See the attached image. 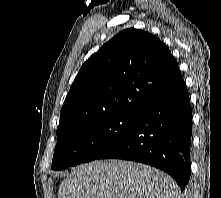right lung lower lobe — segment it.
<instances>
[{"mask_svg":"<svg viewBox=\"0 0 221 198\" xmlns=\"http://www.w3.org/2000/svg\"><path fill=\"white\" fill-rule=\"evenodd\" d=\"M192 110L182 80L139 115L134 128L96 159H125L149 164L170 174L181 187L190 173Z\"/></svg>","mask_w":221,"mask_h":198,"instance_id":"1","label":"right lung lower lobe"}]
</instances>
